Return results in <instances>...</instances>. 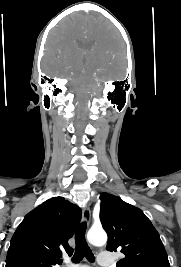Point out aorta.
<instances>
[{"label":"aorta","instance_id":"obj_1","mask_svg":"<svg viewBox=\"0 0 181 267\" xmlns=\"http://www.w3.org/2000/svg\"><path fill=\"white\" fill-rule=\"evenodd\" d=\"M88 241L95 246H103L107 242V234L104 230H90L87 234Z\"/></svg>","mask_w":181,"mask_h":267}]
</instances>
